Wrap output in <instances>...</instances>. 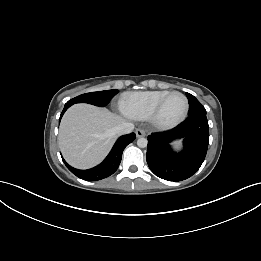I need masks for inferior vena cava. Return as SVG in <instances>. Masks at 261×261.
Instances as JSON below:
<instances>
[{
    "instance_id": "602c4592",
    "label": "inferior vena cava",
    "mask_w": 261,
    "mask_h": 261,
    "mask_svg": "<svg viewBox=\"0 0 261 261\" xmlns=\"http://www.w3.org/2000/svg\"><path fill=\"white\" fill-rule=\"evenodd\" d=\"M133 129L134 125L132 123L121 122L114 128V131L117 135H125L131 133Z\"/></svg>"
}]
</instances>
